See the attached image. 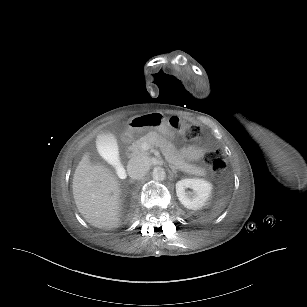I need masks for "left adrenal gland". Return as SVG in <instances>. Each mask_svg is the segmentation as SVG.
Here are the masks:
<instances>
[{
	"mask_svg": "<svg viewBox=\"0 0 307 307\" xmlns=\"http://www.w3.org/2000/svg\"><path fill=\"white\" fill-rule=\"evenodd\" d=\"M173 174L176 178L178 177L177 170H173Z\"/></svg>",
	"mask_w": 307,
	"mask_h": 307,
	"instance_id": "left-adrenal-gland-1",
	"label": "left adrenal gland"
}]
</instances>
